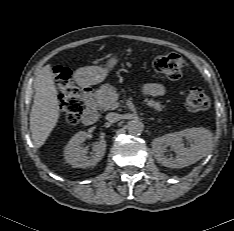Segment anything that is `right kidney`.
<instances>
[{
  "label": "right kidney",
  "mask_w": 234,
  "mask_h": 231,
  "mask_svg": "<svg viewBox=\"0 0 234 231\" xmlns=\"http://www.w3.org/2000/svg\"><path fill=\"white\" fill-rule=\"evenodd\" d=\"M90 135L85 131L76 133L68 142L64 149V158L67 163L72 165L74 168H87L95 166L100 162L105 154L106 142L101 139L95 145L94 154L87 156V149L82 148L81 142L88 139Z\"/></svg>",
  "instance_id": "right-kidney-1"
}]
</instances>
